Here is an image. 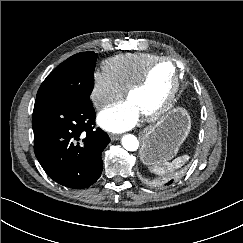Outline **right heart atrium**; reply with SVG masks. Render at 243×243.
<instances>
[{
  "label": "right heart atrium",
  "mask_w": 243,
  "mask_h": 243,
  "mask_svg": "<svg viewBox=\"0 0 243 243\" xmlns=\"http://www.w3.org/2000/svg\"><path fill=\"white\" fill-rule=\"evenodd\" d=\"M124 90L105 70H98L93 76L90 98L96 109L101 110L120 99Z\"/></svg>",
  "instance_id": "1"
}]
</instances>
